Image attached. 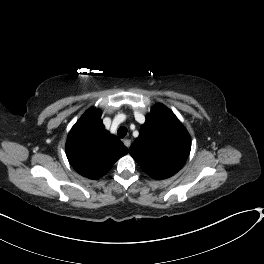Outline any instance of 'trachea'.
I'll return each mask as SVG.
<instances>
[{
    "mask_svg": "<svg viewBox=\"0 0 264 264\" xmlns=\"http://www.w3.org/2000/svg\"><path fill=\"white\" fill-rule=\"evenodd\" d=\"M117 134L120 138H124L127 135V128L126 127H120L117 131Z\"/></svg>",
    "mask_w": 264,
    "mask_h": 264,
    "instance_id": "trachea-1",
    "label": "trachea"
}]
</instances>
